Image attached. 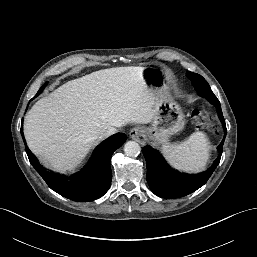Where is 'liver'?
<instances>
[{
	"mask_svg": "<svg viewBox=\"0 0 257 257\" xmlns=\"http://www.w3.org/2000/svg\"><path fill=\"white\" fill-rule=\"evenodd\" d=\"M160 94L141 67L103 69L68 81L27 113L26 143L45 164L72 170L108 128L152 122Z\"/></svg>",
	"mask_w": 257,
	"mask_h": 257,
	"instance_id": "liver-1",
	"label": "liver"
}]
</instances>
